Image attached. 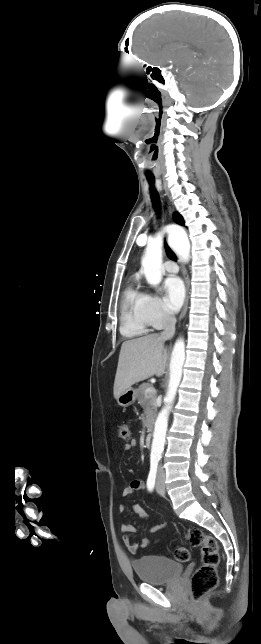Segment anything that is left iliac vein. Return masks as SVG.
<instances>
[{
    "label": "left iliac vein",
    "mask_w": 261,
    "mask_h": 644,
    "mask_svg": "<svg viewBox=\"0 0 261 644\" xmlns=\"http://www.w3.org/2000/svg\"><path fill=\"white\" fill-rule=\"evenodd\" d=\"M156 491H157L160 495H164V494H165V484H164V479H163V476H162L161 472H159L158 477H157V482H156Z\"/></svg>",
    "instance_id": "1"
}]
</instances>
